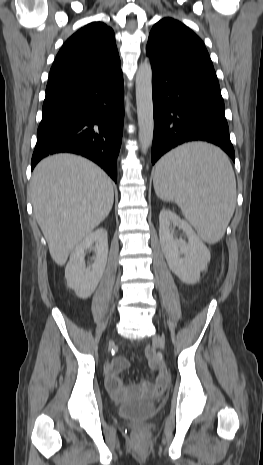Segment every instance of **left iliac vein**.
Returning a JSON list of instances; mask_svg holds the SVG:
<instances>
[{
	"instance_id": "obj_1",
	"label": "left iliac vein",
	"mask_w": 263,
	"mask_h": 465,
	"mask_svg": "<svg viewBox=\"0 0 263 465\" xmlns=\"http://www.w3.org/2000/svg\"><path fill=\"white\" fill-rule=\"evenodd\" d=\"M153 342L158 345L161 350L165 349V340L162 336L156 334L153 336Z\"/></svg>"
}]
</instances>
